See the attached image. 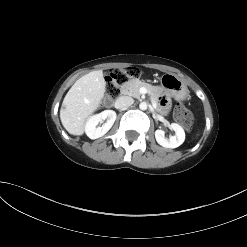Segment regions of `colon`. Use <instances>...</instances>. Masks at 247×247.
<instances>
[{"mask_svg":"<svg viewBox=\"0 0 247 247\" xmlns=\"http://www.w3.org/2000/svg\"><path fill=\"white\" fill-rule=\"evenodd\" d=\"M139 75V70L134 67L113 69L106 79L105 98L108 102L115 100L120 93V86L128 80ZM175 118L186 129H190L193 124L191 112L183 105L178 104L175 108Z\"/></svg>","mask_w":247,"mask_h":247,"instance_id":"obj_1","label":"colon"}]
</instances>
